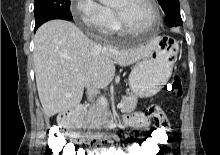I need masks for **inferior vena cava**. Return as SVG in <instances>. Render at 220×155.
<instances>
[{"label":"inferior vena cava","mask_w":220,"mask_h":155,"mask_svg":"<svg viewBox=\"0 0 220 155\" xmlns=\"http://www.w3.org/2000/svg\"><path fill=\"white\" fill-rule=\"evenodd\" d=\"M97 93V90L96 89H94V88H88V96H89V98H92V96L94 95V94H96Z\"/></svg>","instance_id":"obj_1"}]
</instances>
